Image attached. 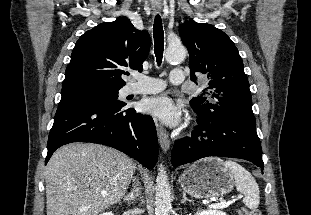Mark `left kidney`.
Listing matches in <instances>:
<instances>
[{"mask_svg":"<svg viewBox=\"0 0 311 215\" xmlns=\"http://www.w3.org/2000/svg\"><path fill=\"white\" fill-rule=\"evenodd\" d=\"M196 215H226V213L220 210H203L199 213H196Z\"/></svg>","mask_w":311,"mask_h":215,"instance_id":"5707ae66","label":"left kidney"}]
</instances>
